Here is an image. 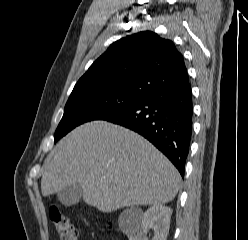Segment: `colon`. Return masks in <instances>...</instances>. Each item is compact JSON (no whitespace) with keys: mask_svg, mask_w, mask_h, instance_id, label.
<instances>
[{"mask_svg":"<svg viewBox=\"0 0 248 240\" xmlns=\"http://www.w3.org/2000/svg\"><path fill=\"white\" fill-rule=\"evenodd\" d=\"M49 217L61 240H78V232L71 220L57 206L49 208Z\"/></svg>","mask_w":248,"mask_h":240,"instance_id":"colon-1","label":"colon"}]
</instances>
